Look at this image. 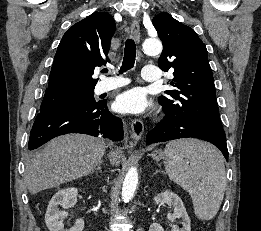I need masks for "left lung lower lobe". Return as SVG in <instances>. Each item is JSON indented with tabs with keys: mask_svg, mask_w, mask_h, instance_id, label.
<instances>
[{
	"mask_svg": "<svg viewBox=\"0 0 261 231\" xmlns=\"http://www.w3.org/2000/svg\"><path fill=\"white\" fill-rule=\"evenodd\" d=\"M189 137L202 139L214 144L228 161L226 139L218 137L211 132L199 129L179 115L166 113L163 120L147 134L146 144Z\"/></svg>",
	"mask_w": 261,
	"mask_h": 231,
	"instance_id": "obj_1",
	"label": "left lung lower lobe"
}]
</instances>
